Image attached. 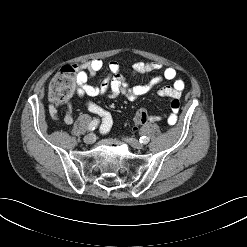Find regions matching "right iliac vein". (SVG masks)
<instances>
[{"instance_id": "63e3f726", "label": "right iliac vein", "mask_w": 247, "mask_h": 247, "mask_svg": "<svg viewBox=\"0 0 247 247\" xmlns=\"http://www.w3.org/2000/svg\"><path fill=\"white\" fill-rule=\"evenodd\" d=\"M95 135L93 133H90L84 137V142L86 144H93L95 142Z\"/></svg>"}]
</instances>
